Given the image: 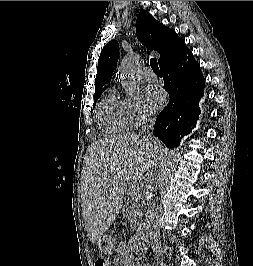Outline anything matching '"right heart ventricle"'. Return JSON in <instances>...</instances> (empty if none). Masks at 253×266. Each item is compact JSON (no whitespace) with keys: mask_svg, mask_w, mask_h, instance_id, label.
Wrapping results in <instances>:
<instances>
[{"mask_svg":"<svg viewBox=\"0 0 253 266\" xmlns=\"http://www.w3.org/2000/svg\"><path fill=\"white\" fill-rule=\"evenodd\" d=\"M98 120L102 130L108 134H121L132 127L124 101L119 100L115 90H110L100 103Z\"/></svg>","mask_w":253,"mask_h":266,"instance_id":"1","label":"right heart ventricle"}]
</instances>
